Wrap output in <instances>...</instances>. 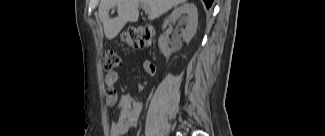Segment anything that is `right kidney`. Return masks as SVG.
Instances as JSON below:
<instances>
[{
	"label": "right kidney",
	"instance_id": "1",
	"mask_svg": "<svg viewBox=\"0 0 325 136\" xmlns=\"http://www.w3.org/2000/svg\"><path fill=\"white\" fill-rule=\"evenodd\" d=\"M179 17H181L179 24L181 26L186 25V28L181 29V36L186 43H189L194 37L198 25V13L195 4L187 2L176 8L172 14L164 20L162 29H165L169 22L176 21ZM158 44L162 54L166 58H169L172 50L169 48L168 38L165 34L160 36Z\"/></svg>",
	"mask_w": 325,
	"mask_h": 136
}]
</instances>
